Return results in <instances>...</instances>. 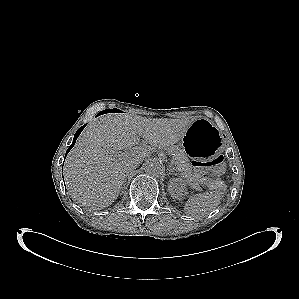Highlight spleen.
<instances>
[{"instance_id":"obj_1","label":"spleen","mask_w":299,"mask_h":299,"mask_svg":"<svg viewBox=\"0 0 299 299\" xmlns=\"http://www.w3.org/2000/svg\"><path fill=\"white\" fill-rule=\"evenodd\" d=\"M223 195L224 191L220 190L194 194L185 203L184 212L192 217L204 216L221 203Z\"/></svg>"}]
</instances>
